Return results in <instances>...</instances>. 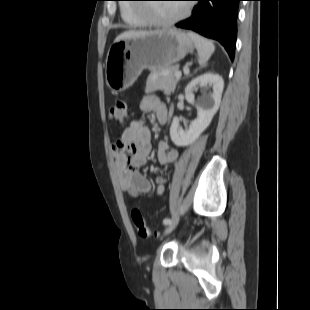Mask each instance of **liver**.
Returning <instances> with one entry per match:
<instances>
[{
	"instance_id": "obj_1",
	"label": "liver",
	"mask_w": 310,
	"mask_h": 310,
	"mask_svg": "<svg viewBox=\"0 0 310 310\" xmlns=\"http://www.w3.org/2000/svg\"><path fill=\"white\" fill-rule=\"evenodd\" d=\"M156 32H159V31H136V30L124 31L123 33H121L120 35L116 37L114 42H117L123 39L146 36V35H150Z\"/></svg>"
}]
</instances>
